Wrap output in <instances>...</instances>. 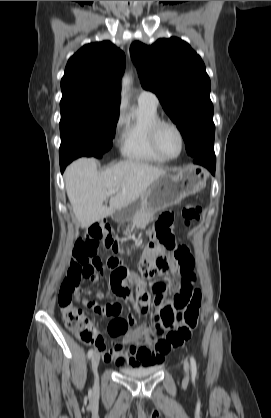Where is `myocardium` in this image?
<instances>
[{"instance_id": "myocardium-1", "label": "myocardium", "mask_w": 271, "mask_h": 418, "mask_svg": "<svg viewBox=\"0 0 271 418\" xmlns=\"http://www.w3.org/2000/svg\"><path fill=\"white\" fill-rule=\"evenodd\" d=\"M164 127H170L172 129L175 130V132L177 133L178 137H179V141H180V149L177 155L175 156H169L167 154L164 153V151L162 150L160 144H159V133L161 131L162 128ZM150 142L151 145L153 147V149L155 150V152L161 156L163 159H165L166 161H170V160H175L177 158H179L181 156V154L183 153L184 150V146H185V138H184V134L181 130V128L174 122L169 121V120H162L159 119L158 121H156L150 130Z\"/></svg>"}]
</instances>
